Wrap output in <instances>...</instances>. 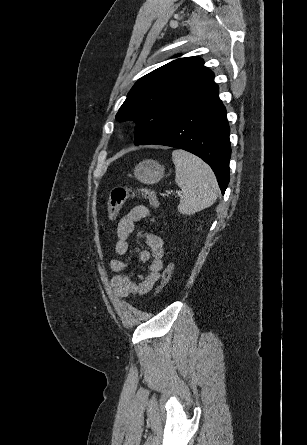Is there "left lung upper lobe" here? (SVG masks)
Returning a JSON list of instances; mask_svg holds the SVG:
<instances>
[{
  "label": "left lung upper lobe",
  "mask_w": 307,
  "mask_h": 445,
  "mask_svg": "<svg viewBox=\"0 0 307 445\" xmlns=\"http://www.w3.org/2000/svg\"><path fill=\"white\" fill-rule=\"evenodd\" d=\"M199 57L171 61L139 79L116 120L134 119L135 144L160 131L181 113L218 89L214 74Z\"/></svg>",
  "instance_id": "obj_1"
}]
</instances>
